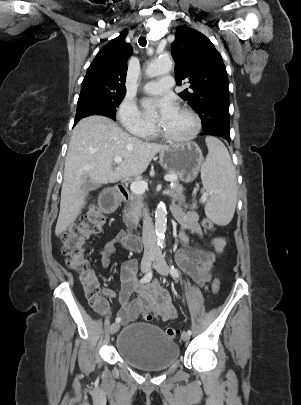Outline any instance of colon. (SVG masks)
<instances>
[{"instance_id": "1", "label": "colon", "mask_w": 301, "mask_h": 405, "mask_svg": "<svg viewBox=\"0 0 301 405\" xmlns=\"http://www.w3.org/2000/svg\"><path fill=\"white\" fill-rule=\"evenodd\" d=\"M107 221L108 217L106 213H100L97 207L90 206L81 217L79 223L72 226L62 235V253L66 258V264L70 269L78 273L87 298L93 308L100 313L107 311V305L101 295L97 277L90 267L85 246L90 239L102 233ZM202 227L205 230H212L214 224L209 219H204ZM219 289L220 280L215 278L211 284V290L216 294ZM144 318L150 321L152 320V315L145 313ZM166 333L171 339H176L179 336V331L174 328H168Z\"/></svg>"}]
</instances>
